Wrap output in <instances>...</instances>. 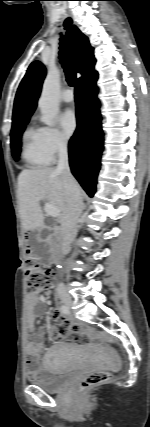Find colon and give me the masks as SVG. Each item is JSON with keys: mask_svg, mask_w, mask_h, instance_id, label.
<instances>
[{"mask_svg": "<svg viewBox=\"0 0 150 427\" xmlns=\"http://www.w3.org/2000/svg\"><path fill=\"white\" fill-rule=\"evenodd\" d=\"M26 292L31 297H36L42 292L50 289L54 282V272L42 265L30 250H26ZM111 378V374L106 371L94 372L86 376L80 383V391H86L92 387L100 385Z\"/></svg>", "mask_w": 150, "mask_h": 427, "instance_id": "5ec220e1", "label": "colon"}]
</instances>
